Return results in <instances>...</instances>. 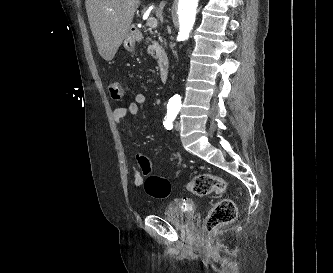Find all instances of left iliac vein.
I'll list each match as a JSON object with an SVG mask.
<instances>
[{
	"instance_id": "1",
	"label": "left iliac vein",
	"mask_w": 333,
	"mask_h": 273,
	"mask_svg": "<svg viewBox=\"0 0 333 273\" xmlns=\"http://www.w3.org/2000/svg\"><path fill=\"white\" fill-rule=\"evenodd\" d=\"M174 128L179 131L181 129V123L179 121H176L174 124Z\"/></svg>"
}]
</instances>
